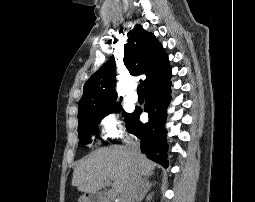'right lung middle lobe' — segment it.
I'll use <instances>...</instances> for the list:
<instances>
[{"label": "right lung middle lobe", "mask_w": 255, "mask_h": 202, "mask_svg": "<svg viewBox=\"0 0 255 202\" xmlns=\"http://www.w3.org/2000/svg\"><path fill=\"white\" fill-rule=\"evenodd\" d=\"M121 106L119 103L112 104L108 107L87 111L78 115V134L82 144L89 143L91 135L96 134V128L100 120L112 112H119ZM127 128L129 126L132 114L124 113Z\"/></svg>", "instance_id": "obj_1"}]
</instances>
